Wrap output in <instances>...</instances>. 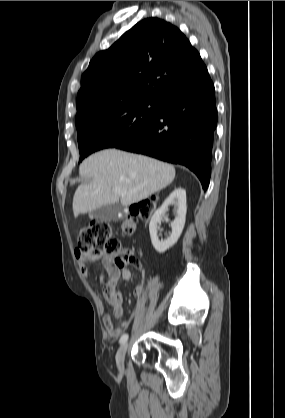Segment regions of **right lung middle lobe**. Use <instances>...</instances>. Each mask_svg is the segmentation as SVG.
<instances>
[{
	"label": "right lung middle lobe",
	"mask_w": 285,
	"mask_h": 418,
	"mask_svg": "<svg viewBox=\"0 0 285 418\" xmlns=\"http://www.w3.org/2000/svg\"><path fill=\"white\" fill-rule=\"evenodd\" d=\"M158 106L146 101L120 104L76 123L79 161L97 150L116 147L133 138L154 120Z\"/></svg>",
	"instance_id": "obj_1"
}]
</instances>
